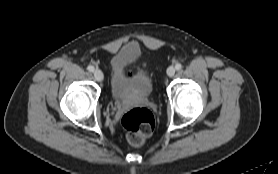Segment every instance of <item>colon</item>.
<instances>
[{"label":"colon","instance_id":"obj_1","mask_svg":"<svg viewBox=\"0 0 278 174\" xmlns=\"http://www.w3.org/2000/svg\"><path fill=\"white\" fill-rule=\"evenodd\" d=\"M122 126L132 145H141L151 135L155 126L152 112L145 107H135L122 118Z\"/></svg>","mask_w":278,"mask_h":174}]
</instances>
